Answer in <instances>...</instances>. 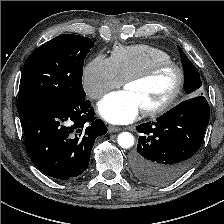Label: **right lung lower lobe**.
<instances>
[{
  "label": "right lung lower lobe",
  "instance_id": "right-lung-lower-lobe-1",
  "mask_svg": "<svg viewBox=\"0 0 224 224\" xmlns=\"http://www.w3.org/2000/svg\"><path fill=\"white\" fill-rule=\"evenodd\" d=\"M18 113L28 156L40 171L60 180L81 175L88 167L95 139L107 133L85 99H44Z\"/></svg>",
  "mask_w": 224,
  "mask_h": 224
}]
</instances>
